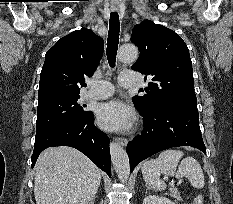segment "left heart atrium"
I'll return each mask as SVG.
<instances>
[{"label":"left heart atrium","instance_id":"left-heart-atrium-1","mask_svg":"<svg viewBox=\"0 0 233 204\" xmlns=\"http://www.w3.org/2000/svg\"><path fill=\"white\" fill-rule=\"evenodd\" d=\"M133 110L120 100L101 104L97 110L99 125L110 131H123L132 124Z\"/></svg>","mask_w":233,"mask_h":204}]
</instances>
